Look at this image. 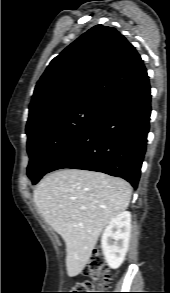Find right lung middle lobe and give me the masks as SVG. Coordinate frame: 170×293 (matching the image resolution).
Masks as SVG:
<instances>
[{
  "instance_id": "obj_1",
  "label": "right lung middle lobe",
  "mask_w": 170,
  "mask_h": 293,
  "mask_svg": "<svg viewBox=\"0 0 170 293\" xmlns=\"http://www.w3.org/2000/svg\"><path fill=\"white\" fill-rule=\"evenodd\" d=\"M101 105L79 104L26 129L30 162L28 177L36 184L54 161L90 126Z\"/></svg>"
}]
</instances>
